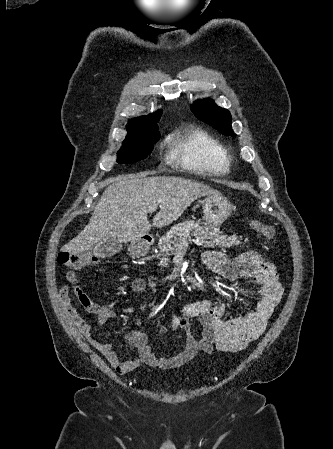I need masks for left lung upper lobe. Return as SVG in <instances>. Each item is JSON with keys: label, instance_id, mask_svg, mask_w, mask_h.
<instances>
[{"label": "left lung upper lobe", "instance_id": "5c2ea615", "mask_svg": "<svg viewBox=\"0 0 333 449\" xmlns=\"http://www.w3.org/2000/svg\"><path fill=\"white\" fill-rule=\"evenodd\" d=\"M195 116L225 135H235L231 127V115L228 110L217 106L213 100L196 101L191 106Z\"/></svg>", "mask_w": 333, "mask_h": 449}]
</instances>
